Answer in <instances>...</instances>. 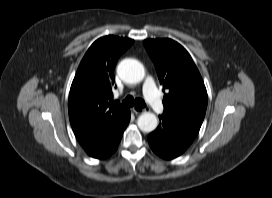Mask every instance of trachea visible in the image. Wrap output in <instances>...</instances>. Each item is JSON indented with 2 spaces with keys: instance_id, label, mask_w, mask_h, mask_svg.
I'll use <instances>...</instances> for the list:
<instances>
[{
  "instance_id": "obj_1",
  "label": "trachea",
  "mask_w": 272,
  "mask_h": 198,
  "mask_svg": "<svg viewBox=\"0 0 272 198\" xmlns=\"http://www.w3.org/2000/svg\"><path fill=\"white\" fill-rule=\"evenodd\" d=\"M123 104L132 107V106H137V107H145L146 104L143 99L141 98H133L132 96H127L125 100L123 101Z\"/></svg>"
}]
</instances>
